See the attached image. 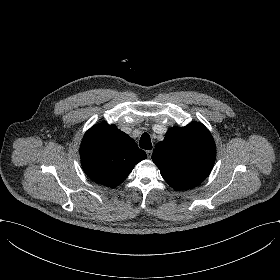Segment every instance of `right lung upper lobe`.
<instances>
[{
  "label": "right lung upper lobe",
  "mask_w": 280,
  "mask_h": 280,
  "mask_svg": "<svg viewBox=\"0 0 280 280\" xmlns=\"http://www.w3.org/2000/svg\"><path fill=\"white\" fill-rule=\"evenodd\" d=\"M80 156L87 176L109 187L121 184L134 166L147 158L132 138L105 121L86 132Z\"/></svg>",
  "instance_id": "cb5924a9"
}]
</instances>
